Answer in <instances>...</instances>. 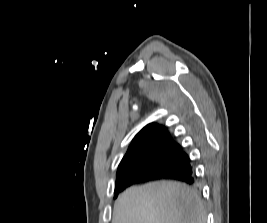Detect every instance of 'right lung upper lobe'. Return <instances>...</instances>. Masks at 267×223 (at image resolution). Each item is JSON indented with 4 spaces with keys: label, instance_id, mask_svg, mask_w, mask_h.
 I'll return each instance as SVG.
<instances>
[{
    "label": "right lung upper lobe",
    "instance_id": "cb5924a9",
    "mask_svg": "<svg viewBox=\"0 0 267 223\" xmlns=\"http://www.w3.org/2000/svg\"><path fill=\"white\" fill-rule=\"evenodd\" d=\"M165 149H182L167 128L151 123L145 126L132 140L117 171V177L125 174V167L132 162L145 161Z\"/></svg>",
    "mask_w": 267,
    "mask_h": 223
}]
</instances>
